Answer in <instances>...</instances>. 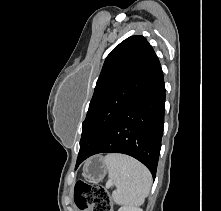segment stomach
Returning <instances> with one entry per match:
<instances>
[{
	"label": "stomach",
	"instance_id": "1",
	"mask_svg": "<svg viewBox=\"0 0 221 211\" xmlns=\"http://www.w3.org/2000/svg\"><path fill=\"white\" fill-rule=\"evenodd\" d=\"M107 172L103 158L100 156L88 159L83 167L84 177L91 182L101 181Z\"/></svg>",
	"mask_w": 221,
	"mask_h": 211
}]
</instances>
